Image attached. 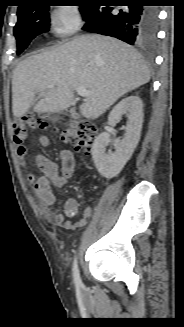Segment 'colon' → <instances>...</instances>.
I'll return each instance as SVG.
<instances>
[{
    "label": "colon",
    "mask_w": 184,
    "mask_h": 327,
    "mask_svg": "<svg viewBox=\"0 0 184 327\" xmlns=\"http://www.w3.org/2000/svg\"><path fill=\"white\" fill-rule=\"evenodd\" d=\"M48 117L40 114H26L15 120L12 125V134L16 145L17 154L23 157L27 153L26 139L30 130L44 129L49 126ZM97 134L95 124L88 120L71 121L60 133L64 143L76 149L89 151L92 141Z\"/></svg>",
    "instance_id": "5ec220e1"
}]
</instances>
